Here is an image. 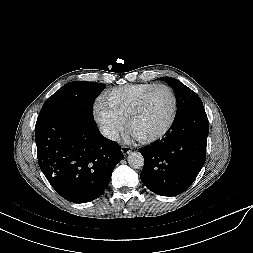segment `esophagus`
<instances>
[{
  "mask_svg": "<svg viewBox=\"0 0 253 253\" xmlns=\"http://www.w3.org/2000/svg\"><path fill=\"white\" fill-rule=\"evenodd\" d=\"M121 151L124 153V154H128L130 151H131V148L128 147V146H121Z\"/></svg>",
  "mask_w": 253,
  "mask_h": 253,
  "instance_id": "esophagus-1",
  "label": "esophagus"
}]
</instances>
